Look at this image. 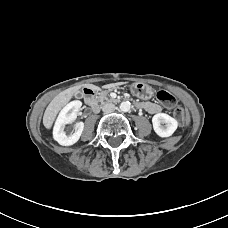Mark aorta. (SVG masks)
I'll use <instances>...</instances> for the list:
<instances>
[{"label": "aorta", "instance_id": "aorta-1", "mask_svg": "<svg viewBox=\"0 0 228 228\" xmlns=\"http://www.w3.org/2000/svg\"><path fill=\"white\" fill-rule=\"evenodd\" d=\"M131 108V103L129 101H123L120 104V110L123 112H128Z\"/></svg>", "mask_w": 228, "mask_h": 228}]
</instances>
